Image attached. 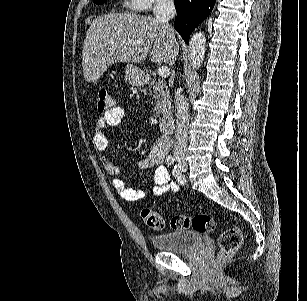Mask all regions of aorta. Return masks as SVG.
<instances>
[{
  "label": "aorta",
  "instance_id": "762f6f07",
  "mask_svg": "<svg viewBox=\"0 0 307 301\" xmlns=\"http://www.w3.org/2000/svg\"><path fill=\"white\" fill-rule=\"evenodd\" d=\"M206 36L204 32H195L189 40V54L193 68H200L206 50Z\"/></svg>",
  "mask_w": 307,
  "mask_h": 301
}]
</instances>
